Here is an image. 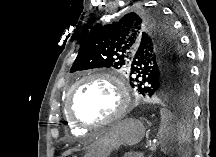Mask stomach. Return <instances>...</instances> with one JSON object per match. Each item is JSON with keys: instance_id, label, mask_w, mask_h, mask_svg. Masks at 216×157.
Wrapping results in <instances>:
<instances>
[{"instance_id": "stomach-1", "label": "stomach", "mask_w": 216, "mask_h": 157, "mask_svg": "<svg viewBox=\"0 0 216 157\" xmlns=\"http://www.w3.org/2000/svg\"><path fill=\"white\" fill-rule=\"evenodd\" d=\"M145 127L136 119H124L96 138L84 157H109L121 145H133L142 140Z\"/></svg>"}]
</instances>
